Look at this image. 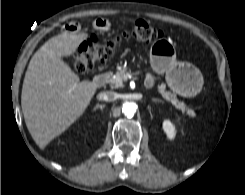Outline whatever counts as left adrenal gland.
<instances>
[{
  "label": "left adrenal gland",
  "instance_id": "a2214340",
  "mask_svg": "<svg viewBox=\"0 0 245 195\" xmlns=\"http://www.w3.org/2000/svg\"><path fill=\"white\" fill-rule=\"evenodd\" d=\"M153 102H162L161 100L159 99H152Z\"/></svg>",
  "mask_w": 245,
  "mask_h": 195
}]
</instances>
